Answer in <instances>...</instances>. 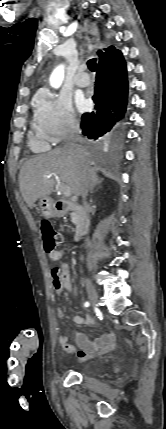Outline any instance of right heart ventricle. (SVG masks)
Wrapping results in <instances>:
<instances>
[{
  "label": "right heart ventricle",
  "mask_w": 166,
  "mask_h": 429,
  "mask_svg": "<svg viewBox=\"0 0 166 429\" xmlns=\"http://www.w3.org/2000/svg\"><path fill=\"white\" fill-rule=\"evenodd\" d=\"M30 145L34 151H44L50 147L48 140L37 130L30 136Z\"/></svg>",
  "instance_id": "obj_1"
}]
</instances>
